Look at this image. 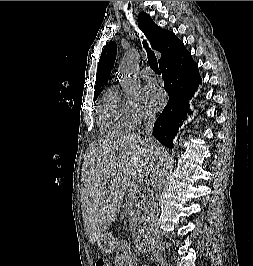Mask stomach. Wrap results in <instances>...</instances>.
Masks as SVG:
<instances>
[{"mask_svg": "<svg viewBox=\"0 0 253 266\" xmlns=\"http://www.w3.org/2000/svg\"><path fill=\"white\" fill-rule=\"evenodd\" d=\"M115 243V239L111 233H104L102 237L97 241L99 250L102 252H109L112 250Z\"/></svg>", "mask_w": 253, "mask_h": 266, "instance_id": "obj_1", "label": "stomach"}]
</instances>
